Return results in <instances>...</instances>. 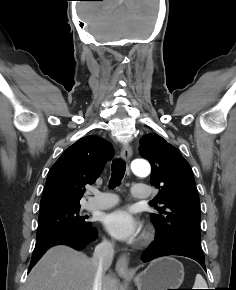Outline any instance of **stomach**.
<instances>
[{"label":"stomach","mask_w":236,"mask_h":290,"mask_svg":"<svg viewBox=\"0 0 236 290\" xmlns=\"http://www.w3.org/2000/svg\"><path fill=\"white\" fill-rule=\"evenodd\" d=\"M124 278H128L124 276ZM184 280V267L173 257H161L134 277L138 290L179 289Z\"/></svg>","instance_id":"1"}]
</instances>
